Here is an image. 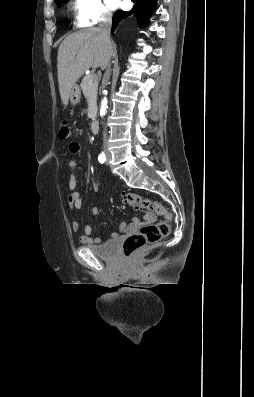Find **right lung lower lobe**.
Instances as JSON below:
<instances>
[{
	"mask_svg": "<svg viewBox=\"0 0 254 397\" xmlns=\"http://www.w3.org/2000/svg\"><path fill=\"white\" fill-rule=\"evenodd\" d=\"M134 3V10L125 12V11H117L113 17L112 29L111 32L114 33L117 28L119 22L131 15H134L137 19L138 25L143 27L147 25L152 13L155 10L156 1L157 0H131Z\"/></svg>",
	"mask_w": 254,
	"mask_h": 397,
	"instance_id": "right-lung-lower-lobe-1",
	"label": "right lung lower lobe"
}]
</instances>
